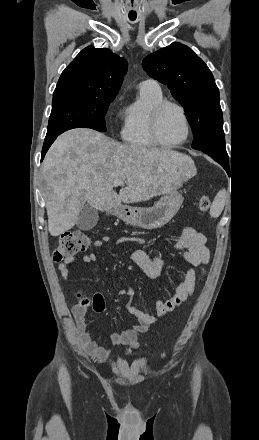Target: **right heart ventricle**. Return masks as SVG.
<instances>
[{"label": "right heart ventricle", "instance_id": "1", "mask_svg": "<svg viewBox=\"0 0 259 440\" xmlns=\"http://www.w3.org/2000/svg\"><path fill=\"white\" fill-rule=\"evenodd\" d=\"M163 100L161 92L140 90L138 98L123 113L121 138L126 144L138 149L157 146L150 133V116L153 108Z\"/></svg>", "mask_w": 259, "mask_h": 440}]
</instances>
